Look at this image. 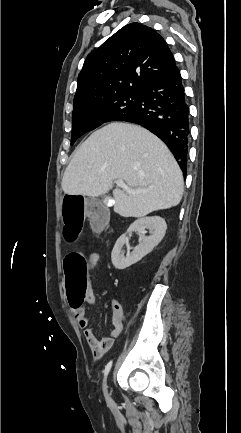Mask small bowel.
Listing matches in <instances>:
<instances>
[{
  "mask_svg": "<svg viewBox=\"0 0 241 433\" xmlns=\"http://www.w3.org/2000/svg\"><path fill=\"white\" fill-rule=\"evenodd\" d=\"M99 254L93 252L88 256V268L92 271L97 265ZM90 304L95 303V296L92 288L90 287L89 294L86 298ZM112 330L109 337H97L90 327L89 319L86 316L85 309L82 308L80 312H75L72 306V314L77 321L78 326L83 329L85 339L96 359H100L112 346L114 340L120 336L123 331V317L124 312L121 303L116 299H112Z\"/></svg>",
  "mask_w": 241,
  "mask_h": 433,
  "instance_id": "c3829d8e",
  "label": "small bowel"
}]
</instances>
